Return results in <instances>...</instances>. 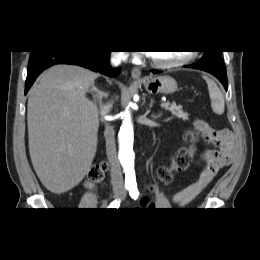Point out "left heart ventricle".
I'll return each instance as SVG.
<instances>
[{
  "instance_id": "b2bd125f",
  "label": "left heart ventricle",
  "mask_w": 260,
  "mask_h": 260,
  "mask_svg": "<svg viewBox=\"0 0 260 260\" xmlns=\"http://www.w3.org/2000/svg\"><path fill=\"white\" fill-rule=\"evenodd\" d=\"M185 52H174V51H157L151 53V56L160 62H169L182 58L185 56Z\"/></svg>"
}]
</instances>
